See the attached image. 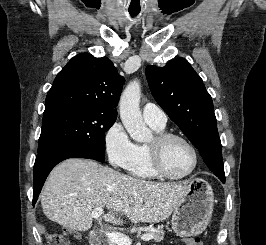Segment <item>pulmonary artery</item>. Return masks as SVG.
<instances>
[{"mask_svg":"<svg viewBox=\"0 0 266 245\" xmlns=\"http://www.w3.org/2000/svg\"><path fill=\"white\" fill-rule=\"evenodd\" d=\"M142 114L144 120L149 124H155L158 126L166 125L167 116L164 111L156 105H144L142 108Z\"/></svg>","mask_w":266,"mask_h":245,"instance_id":"obj_1","label":"pulmonary artery"}]
</instances>
